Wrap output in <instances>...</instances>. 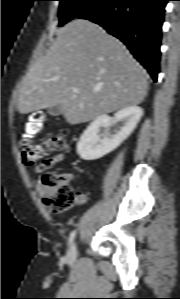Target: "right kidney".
Instances as JSON below:
<instances>
[{
    "mask_svg": "<svg viewBox=\"0 0 180 299\" xmlns=\"http://www.w3.org/2000/svg\"><path fill=\"white\" fill-rule=\"evenodd\" d=\"M143 115L138 106H130L115 113L114 117L101 115L83 132L77 144V153L83 160H96L116 149L135 129ZM119 121L124 125L115 135H99L100 128H107Z\"/></svg>",
    "mask_w": 180,
    "mask_h": 299,
    "instance_id": "1",
    "label": "right kidney"
}]
</instances>
